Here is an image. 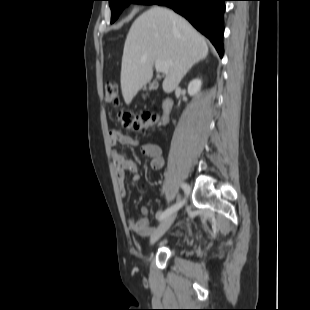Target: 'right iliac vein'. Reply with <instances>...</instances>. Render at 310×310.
<instances>
[{
  "instance_id": "obj_1",
  "label": "right iliac vein",
  "mask_w": 310,
  "mask_h": 310,
  "mask_svg": "<svg viewBox=\"0 0 310 310\" xmlns=\"http://www.w3.org/2000/svg\"><path fill=\"white\" fill-rule=\"evenodd\" d=\"M176 218V211L167 216L150 237L149 244L154 245L171 227Z\"/></svg>"
}]
</instances>
